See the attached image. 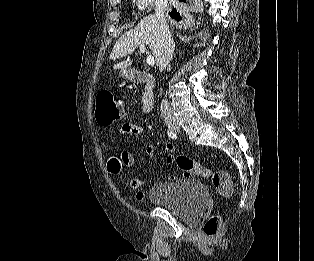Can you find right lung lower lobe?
<instances>
[{
  "label": "right lung lower lobe",
  "instance_id": "obj_1",
  "mask_svg": "<svg viewBox=\"0 0 314 261\" xmlns=\"http://www.w3.org/2000/svg\"><path fill=\"white\" fill-rule=\"evenodd\" d=\"M182 2H185L186 0H180ZM170 16L176 20H180V14L176 11V9L170 13Z\"/></svg>",
  "mask_w": 314,
  "mask_h": 261
}]
</instances>
